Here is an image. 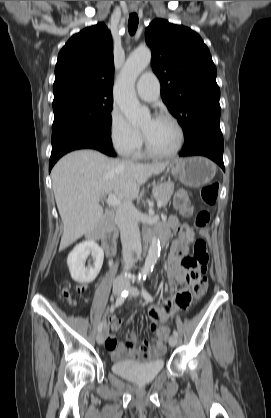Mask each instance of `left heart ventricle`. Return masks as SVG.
Masks as SVG:
<instances>
[{
  "label": "left heart ventricle",
  "instance_id": "obj_1",
  "mask_svg": "<svg viewBox=\"0 0 271 418\" xmlns=\"http://www.w3.org/2000/svg\"><path fill=\"white\" fill-rule=\"evenodd\" d=\"M141 130L155 151L169 152L177 145V129L167 119L149 117L142 123Z\"/></svg>",
  "mask_w": 271,
  "mask_h": 418
}]
</instances>
